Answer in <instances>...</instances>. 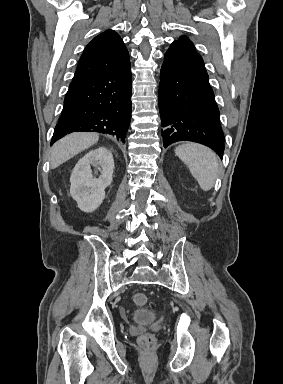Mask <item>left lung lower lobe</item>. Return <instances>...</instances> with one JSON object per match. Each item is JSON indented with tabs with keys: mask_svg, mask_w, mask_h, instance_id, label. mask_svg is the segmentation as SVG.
Segmentation results:
<instances>
[{
	"mask_svg": "<svg viewBox=\"0 0 283 384\" xmlns=\"http://www.w3.org/2000/svg\"><path fill=\"white\" fill-rule=\"evenodd\" d=\"M158 100L164 147L188 140L223 157L219 109L203 59L194 48L175 41L171 44L161 68Z\"/></svg>",
	"mask_w": 283,
	"mask_h": 384,
	"instance_id": "1",
	"label": "left lung lower lobe"
}]
</instances>
